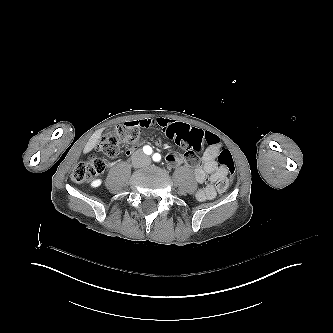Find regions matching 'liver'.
<instances>
[{
	"mask_svg": "<svg viewBox=\"0 0 333 333\" xmlns=\"http://www.w3.org/2000/svg\"><path fill=\"white\" fill-rule=\"evenodd\" d=\"M110 126H105V127H102L98 130H96L92 136L89 138V140L87 141L84 149H83V154L86 155L88 153H90L93 149H95L101 138H102V134L104 132V130L108 129Z\"/></svg>",
	"mask_w": 333,
	"mask_h": 333,
	"instance_id": "liver-1",
	"label": "liver"
}]
</instances>
